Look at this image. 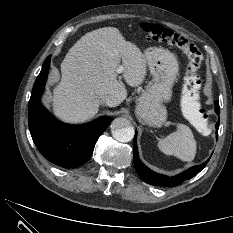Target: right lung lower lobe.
Listing matches in <instances>:
<instances>
[{
    "label": "right lung lower lobe",
    "instance_id": "obj_1",
    "mask_svg": "<svg viewBox=\"0 0 233 233\" xmlns=\"http://www.w3.org/2000/svg\"><path fill=\"white\" fill-rule=\"evenodd\" d=\"M49 65L50 56L43 64L30 97L29 130L35 145L46 159L60 167L76 168L91 157L99 136L111 123L112 118L104 116L79 126L55 119L40 104Z\"/></svg>",
    "mask_w": 233,
    "mask_h": 233
}]
</instances>
